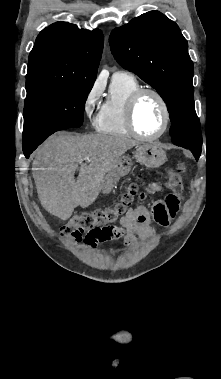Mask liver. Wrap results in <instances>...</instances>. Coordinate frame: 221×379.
Instances as JSON below:
<instances>
[{"label":"liver","instance_id":"1","mask_svg":"<svg viewBox=\"0 0 221 379\" xmlns=\"http://www.w3.org/2000/svg\"><path fill=\"white\" fill-rule=\"evenodd\" d=\"M137 144L123 136L105 134L49 137L35 151L33 161L41 205L62 220L69 219L77 206L88 207L97 199L105 175Z\"/></svg>","mask_w":221,"mask_h":379}]
</instances>
